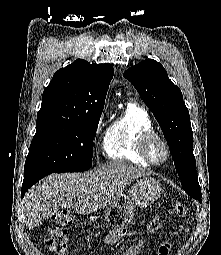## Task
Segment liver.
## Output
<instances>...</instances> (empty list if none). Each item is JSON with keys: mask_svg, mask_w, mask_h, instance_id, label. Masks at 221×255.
Here are the masks:
<instances>
[{"mask_svg": "<svg viewBox=\"0 0 221 255\" xmlns=\"http://www.w3.org/2000/svg\"><path fill=\"white\" fill-rule=\"evenodd\" d=\"M148 171L113 161L94 171L51 174L33 186L24 197L26 225L32 229L60 209L90 214L104 208Z\"/></svg>", "mask_w": 221, "mask_h": 255, "instance_id": "1", "label": "liver"}]
</instances>
